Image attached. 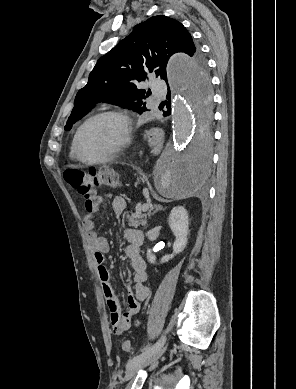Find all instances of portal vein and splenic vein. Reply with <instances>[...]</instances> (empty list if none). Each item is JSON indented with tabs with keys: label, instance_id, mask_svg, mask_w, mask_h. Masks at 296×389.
Returning a JSON list of instances; mask_svg holds the SVG:
<instances>
[{
	"label": "portal vein and splenic vein",
	"instance_id": "1",
	"mask_svg": "<svg viewBox=\"0 0 296 389\" xmlns=\"http://www.w3.org/2000/svg\"><path fill=\"white\" fill-rule=\"evenodd\" d=\"M151 207L150 204H143L141 207H139V211L141 212H147L149 208Z\"/></svg>",
	"mask_w": 296,
	"mask_h": 389
}]
</instances>
